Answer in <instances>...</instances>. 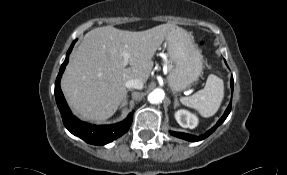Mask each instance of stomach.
Returning <instances> with one entry per match:
<instances>
[{"label":"stomach","instance_id":"0dacf381","mask_svg":"<svg viewBox=\"0 0 287 175\" xmlns=\"http://www.w3.org/2000/svg\"><path fill=\"white\" fill-rule=\"evenodd\" d=\"M165 40L172 64L167 77L169 87L173 92L183 91L199 78L203 56L193 36L184 29L169 31Z\"/></svg>","mask_w":287,"mask_h":175}]
</instances>
